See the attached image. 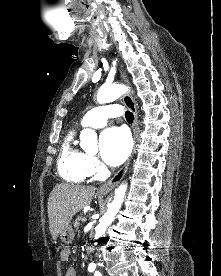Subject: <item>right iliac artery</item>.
Instances as JSON below:
<instances>
[{
  "label": "right iliac artery",
  "mask_w": 221,
  "mask_h": 276,
  "mask_svg": "<svg viewBox=\"0 0 221 276\" xmlns=\"http://www.w3.org/2000/svg\"><path fill=\"white\" fill-rule=\"evenodd\" d=\"M88 270H89L90 272H92V271H94V267H89Z\"/></svg>",
  "instance_id": "obj_1"
}]
</instances>
